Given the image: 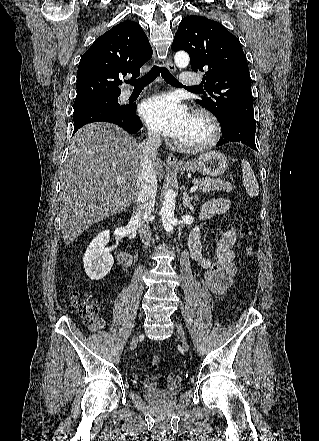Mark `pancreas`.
<instances>
[{"label": "pancreas", "instance_id": "pancreas-1", "mask_svg": "<svg viewBox=\"0 0 319 441\" xmlns=\"http://www.w3.org/2000/svg\"><path fill=\"white\" fill-rule=\"evenodd\" d=\"M193 184L198 186L199 191L203 193H209L218 190L231 192L233 190V187L229 182H224L220 179L195 178L193 180Z\"/></svg>", "mask_w": 319, "mask_h": 441}]
</instances>
